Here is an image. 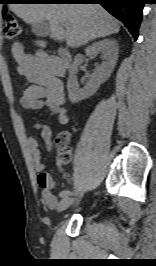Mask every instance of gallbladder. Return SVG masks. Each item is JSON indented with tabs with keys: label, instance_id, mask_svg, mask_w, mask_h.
<instances>
[{
	"label": "gallbladder",
	"instance_id": "obj_1",
	"mask_svg": "<svg viewBox=\"0 0 156 266\" xmlns=\"http://www.w3.org/2000/svg\"><path fill=\"white\" fill-rule=\"evenodd\" d=\"M32 32L37 36V37H46L50 34V27L48 22L44 21L41 23L33 24L32 27Z\"/></svg>",
	"mask_w": 156,
	"mask_h": 266
}]
</instances>
